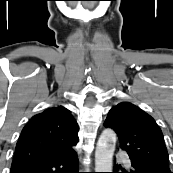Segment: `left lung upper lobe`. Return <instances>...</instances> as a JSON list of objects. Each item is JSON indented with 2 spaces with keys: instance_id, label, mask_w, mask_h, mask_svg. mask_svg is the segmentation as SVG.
<instances>
[{
  "instance_id": "left-lung-upper-lobe-1",
  "label": "left lung upper lobe",
  "mask_w": 173,
  "mask_h": 173,
  "mask_svg": "<svg viewBox=\"0 0 173 173\" xmlns=\"http://www.w3.org/2000/svg\"><path fill=\"white\" fill-rule=\"evenodd\" d=\"M104 125L117 133L120 148L127 151L132 161L172 173L162 131L139 107L129 102L119 103L109 111Z\"/></svg>"
}]
</instances>
